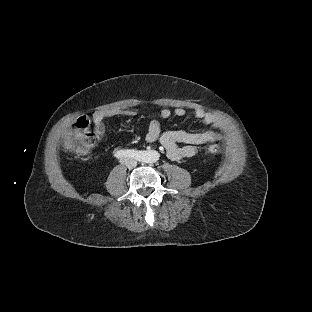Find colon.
<instances>
[{
  "mask_svg": "<svg viewBox=\"0 0 312 312\" xmlns=\"http://www.w3.org/2000/svg\"><path fill=\"white\" fill-rule=\"evenodd\" d=\"M89 127L88 120L83 116L76 117L72 123V133L65 138V145L73 155H85L89 153L96 143V137ZM207 153L214 155L220 151V147L211 144L207 147Z\"/></svg>",
  "mask_w": 312,
  "mask_h": 312,
  "instance_id": "colon-1",
  "label": "colon"
}]
</instances>
